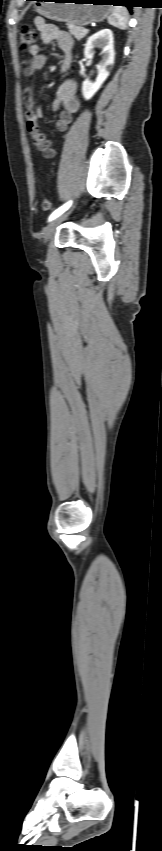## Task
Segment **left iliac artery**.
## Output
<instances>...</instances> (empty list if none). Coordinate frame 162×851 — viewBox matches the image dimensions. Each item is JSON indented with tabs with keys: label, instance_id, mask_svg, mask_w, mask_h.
I'll return each mask as SVG.
<instances>
[{
	"label": "left iliac artery",
	"instance_id": "left-iliac-artery-1",
	"mask_svg": "<svg viewBox=\"0 0 162 851\" xmlns=\"http://www.w3.org/2000/svg\"><path fill=\"white\" fill-rule=\"evenodd\" d=\"M71 204H72V201H69V202H67L66 204H64L63 206H61V207H59L58 209H56V210H55V211H54V212L50 215V217H49V221H52L53 219H55L56 217H58L59 215H61L62 213H64V212H65V211H66V210H67V209L71 206Z\"/></svg>",
	"mask_w": 162,
	"mask_h": 851
}]
</instances>
